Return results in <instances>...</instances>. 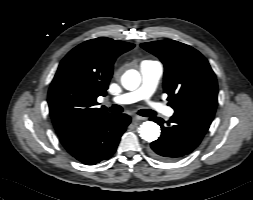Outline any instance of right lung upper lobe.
Masks as SVG:
<instances>
[{"label":"right lung upper lobe","instance_id":"cb5924a9","mask_svg":"<svg viewBox=\"0 0 253 200\" xmlns=\"http://www.w3.org/2000/svg\"><path fill=\"white\" fill-rule=\"evenodd\" d=\"M134 44L100 37L72 49L61 61L50 85L48 104L59 136L94 124L110 113L96 108L105 96L115 59Z\"/></svg>","mask_w":253,"mask_h":200}]
</instances>
